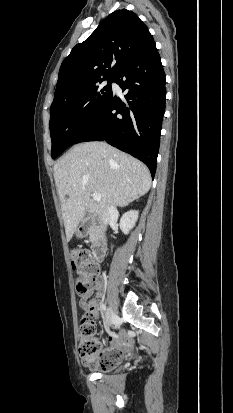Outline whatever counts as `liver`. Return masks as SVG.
<instances>
[{
  "label": "liver",
  "instance_id": "liver-1",
  "mask_svg": "<svg viewBox=\"0 0 233 413\" xmlns=\"http://www.w3.org/2000/svg\"><path fill=\"white\" fill-rule=\"evenodd\" d=\"M54 179L67 241L87 212L102 215L109 205L126 206L151 187L147 166L106 142L73 146L54 165ZM94 193L101 201L91 199Z\"/></svg>",
  "mask_w": 233,
  "mask_h": 413
}]
</instances>
